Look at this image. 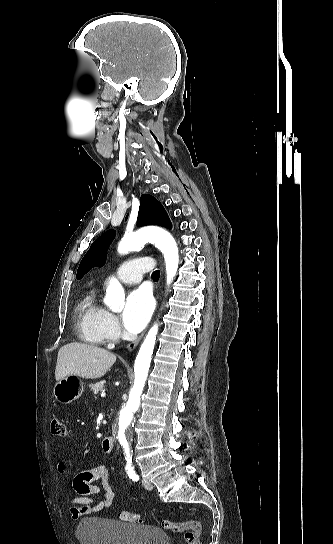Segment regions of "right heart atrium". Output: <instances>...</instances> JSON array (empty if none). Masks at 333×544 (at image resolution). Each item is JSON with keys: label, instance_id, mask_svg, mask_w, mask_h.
Listing matches in <instances>:
<instances>
[{"label": "right heart atrium", "instance_id": "right-heart-atrium-1", "mask_svg": "<svg viewBox=\"0 0 333 544\" xmlns=\"http://www.w3.org/2000/svg\"><path fill=\"white\" fill-rule=\"evenodd\" d=\"M103 332L105 340L108 341H115L121 333L117 318L109 312H107L103 322Z\"/></svg>", "mask_w": 333, "mask_h": 544}]
</instances>
